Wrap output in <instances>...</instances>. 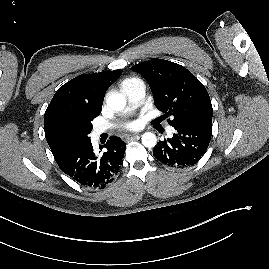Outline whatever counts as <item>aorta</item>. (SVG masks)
I'll return each instance as SVG.
<instances>
[{"instance_id":"762f6f07","label":"aorta","mask_w":269,"mask_h":269,"mask_svg":"<svg viewBox=\"0 0 269 269\" xmlns=\"http://www.w3.org/2000/svg\"><path fill=\"white\" fill-rule=\"evenodd\" d=\"M106 102H107V105L115 111H121L126 106V99L120 93H112L108 95ZM141 139H142V144L147 148H152L157 144L156 135L152 132H145L142 135Z\"/></svg>"}]
</instances>
